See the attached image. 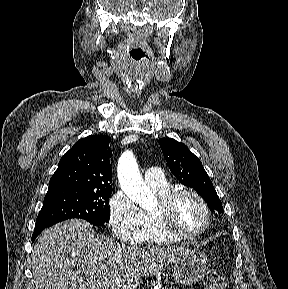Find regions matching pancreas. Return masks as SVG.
Wrapping results in <instances>:
<instances>
[{
    "instance_id": "1",
    "label": "pancreas",
    "mask_w": 288,
    "mask_h": 289,
    "mask_svg": "<svg viewBox=\"0 0 288 289\" xmlns=\"http://www.w3.org/2000/svg\"><path fill=\"white\" fill-rule=\"evenodd\" d=\"M169 289H178L177 287H170Z\"/></svg>"
}]
</instances>
